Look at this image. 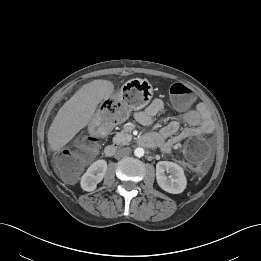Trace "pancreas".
<instances>
[{
  "instance_id": "cf45deb5",
  "label": "pancreas",
  "mask_w": 261,
  "mask_h": 261,
  "mask_svg": "<svg viewBox=\"0 0 261 261\" xmlns=\"http://www.w3.org/2000/svg\"><path fill=\"white\" fill-rule=\"evenodd\" d=\"M131 140L132 135H130L126 129L118 132L113 138V142L118 145H128Z\"/></svg>"
}]
</instances>
